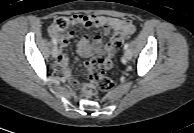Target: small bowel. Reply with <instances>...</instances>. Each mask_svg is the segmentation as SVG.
I'll return each instance as SVG.
<instances>
[{
  "mask_svg": "<svg viewBox=\"0 0 194 133\" xmlns=\"http://www.w3.org/2000/svg\"><path fill=\"white\" fill-rule=\"evenodd\" d=\"M68 19L71 25L80 24L85 28H100L104 35H108L111 30L116 33L122 32L128 35L135 31L133 23L122 18L93 14H74ZM49 32L59 42L62 48H66L68 46L69 39L73 36L72 31H68L65 34L58 33L53 25L50 27ZM78 52L83 56H89L92 52L104 54V67L109 69L112 67V57L115 52V47L112 43H106L103 45L99 36H95L90 42L89 37L84 35L78 43ZM56 64L66 77L70 76V71L68 69V57L65 54L59 57ZM73 85L76 86L77 84L73 82Z\"/></svg>",
  "mask_w": 194,
  "mask_h": 133,
  "instance_id": "c3829d8e",
  "label": "small bowel"
}]
</instances>
